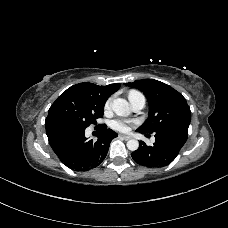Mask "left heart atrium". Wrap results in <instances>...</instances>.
Masks as SVG:
<instances>
[{"instance_id": "1", "label": "left heart atrium", "mask_w": 228, "mask_h": 228, "mask_svg": "<svg viewBox=\"0 0 228 228\" xmlns=\"http://www.w3.org/2000/svg\"><path fill=\"white\" fill-rule=\"evenodd\" d=\"M130 124H131L130 121L117 119L111 122V127L115 130L125 132L129 130Z\"/></svg>"}]
</instances>
